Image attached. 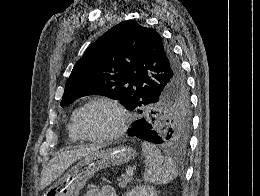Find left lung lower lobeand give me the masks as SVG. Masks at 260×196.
I'll return each mask as SVG.
<instances>
[{
  "label": "left lung lower lobe",
  "instance_id": "0a47b994",
  "mask_svg": "<svg viewBox=\"0 0 260 196\" xmlns=\"http://www.w3.org/2000/svg\"><path fill=\"white\" fill-rule=\"evenodd\" d=\"M132 125L133 128L131 130H128V135L136 136L151 143H160L159 134L153 130L152 125L148 121L144 119H139Z\"/></svg>",
  "mask_w": 260,
  "mask_h": 196
}]
</instances>
